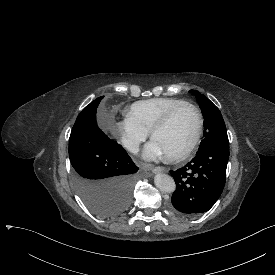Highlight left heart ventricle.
<instances>
[{
	"mask_svg": "<svg viewBox=\"0 0 275 275\" xmlns=\"http://www.w3.org/2000/svg\"><path fill=\"white\" fill-rule=\"evenodd\" d=\"M194 130V113L191 109L184 108L175 114L166 129L155 134L152 141L164 151L166 156L173 155L188 144Z\"/></svg>",
	"mask_w": 275,
	"mask_h": 275,
	"instance_id": "obj_1",
	"label": "left heart ventricle"
}]
</instances>
